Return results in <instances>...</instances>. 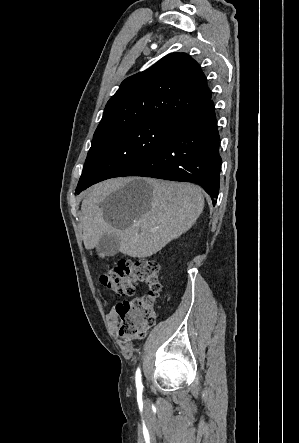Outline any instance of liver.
Segmentation results:
<instances>
[{"label":"liver","instance_id":"6515ba94","mask_svg":"<svg viewBox=\"0 0 299 443\" xmlns=\"http://www.w3.org/2000/svg\"><path fill=\"white\" fill-rule=\"evenodd\" d=\"M203 207L201 189L193 184L152 178L106 180L84 193V246L91 250L104 234H112L120 238L122 254L150 257L187 232Z\"/></svg>","mask_w":299,"mask_h":443}]
</instances>
